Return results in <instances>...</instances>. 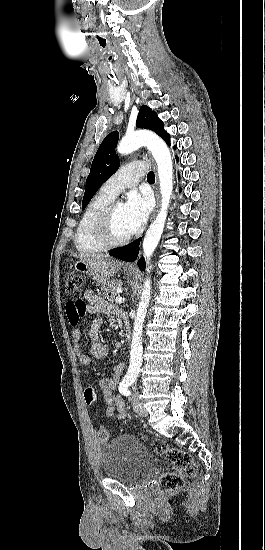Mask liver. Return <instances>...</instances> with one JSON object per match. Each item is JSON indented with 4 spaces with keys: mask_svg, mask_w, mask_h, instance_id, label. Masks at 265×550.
<instances>
[{
    "mask_svg": "<svg viewBox=\"0 0 265 550\" xmlns=\"http://www.w3.org/2000/svg\"><path fill=\"white\" fill-rule=\"evenodd\" d=\"M78 258L89 264L103 277H111L121 268L122 262L113 260L104 254H83Z\"/></svg>",
    "mask_w": 265,
    "mask_h": 550,
    "instance_id": "liver-1",
    "label": "liver"
}]
</instances>
